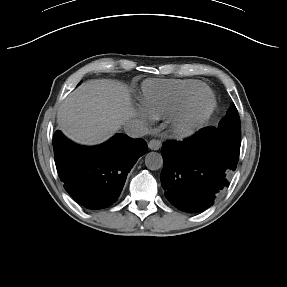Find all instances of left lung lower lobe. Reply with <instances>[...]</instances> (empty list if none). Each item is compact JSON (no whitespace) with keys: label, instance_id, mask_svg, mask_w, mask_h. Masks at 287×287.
Returning a JSON list of instances; mask_svg holds the SVG:
<instances>
[{"label":"left lung lower lobe","instance_id":"obj_1","mask_svg":"<svg viewBox=\"0 0 287 287\" xmlns=\"http://www.w3.org/2000/svg\"><path fill=\"white\" fill-rule=\"evenodd\" d=\"M241 135L205 127L184 141H167L161 153L165 197L179 210L203 211L229 183L239 159Z\"/></svg>","mask_w":287,"mask_h":287}]
</instances>
